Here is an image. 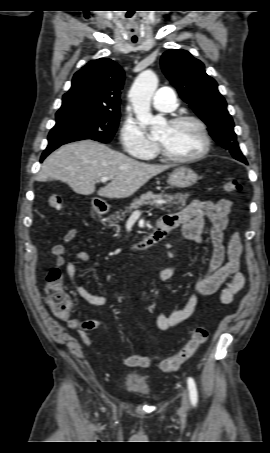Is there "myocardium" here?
Segmentation results:
<instances>
[{"instance_id": "1", "label": "myocardium", "mask_w": 270, "mask_h": 453, "mask_svg": "<svg viewBox=\"0 0 270 453\" xmlns=\"http://www.w3.org/2000/svg\"><path fill=\"white\" fill-rule=\"evenodd\" d=\"M184 122H191L194 123L200 130L202 139H203V147L202 149L194 155L185 156V157H177L169 154L163 145L160 142H157L158 153L159 155L165 159L166 161L176 163V164H184V163H191L200 160L203 158L211 148V138L207 129L206 124L198 117L193 115H179L175 116L168 120V124L170 125H177Z\"/></svg>"}]
</instances>
